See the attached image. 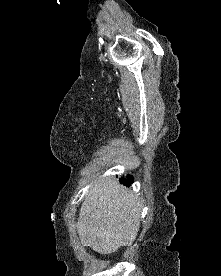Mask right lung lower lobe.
Instances as JSON below:
<instances>
[{"instance_id": "right-lung-lower-lobe-1", "label": "right lung lower lobe", "mask_w": 221, "mask_h": 276, "mask_svg": "<svg viewBox=\"0 0 221 276\" xmlns=\"http://www.w3.org/2000/svg\"><path fill=\"white\" fill-rule=\"evenodd\" d=\"M120 182L125 186H129L133 182V177L127 176L126 178H121Z\"/></svg>"}]
</instances>
